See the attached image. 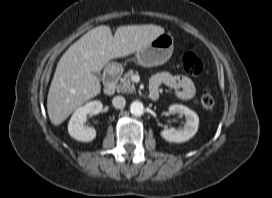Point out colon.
Listing matches in <instances>:
<instances>
[{"label": "colon", "instance_id": "colon-1", "mask_svg": "<svg viewBox=\"0 0 272 198\" xmlns=\"http://www.w3.org/2000/svg\"><path fill=\"white\" fill-rule=\"evenodd\" d=\"M184 70L191 75H199L203 65L198 56L193 52H187L182 57ZM201 104L205 109H212L215 105V97L210 89H205L201 95Z\"/></svg>", "mask_w": 272, "mask_h": 198}]
</instances>
